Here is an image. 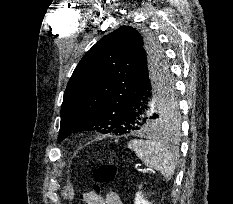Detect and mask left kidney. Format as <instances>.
Returning <instances> with one entry per match:
<instances>
[{
	"instance_id": "1",
	"label": "left kidney",
	"mask_w": 233,
	"mask_h": 204,
	"mask_svg": "<svg viewBox=\"0 0 233 204\" xmlns=\"http://www.w3.org/2000/svg\"><path fill=\"white\" fill-rule=\"evenodd\" d=\"M134 204H152L144 198L141 192H137L135 196Z\"/></svg>"
}]
</instances>
